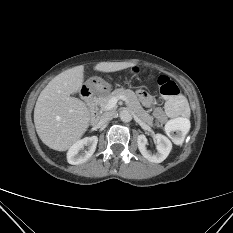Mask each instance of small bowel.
<instances>
[{
    "label": "small bowel",
    "mask_w": 233,
    "mask_h": 233,
    "mask_svg": "<svg viewBox=\"0 0 233 233\" xmlns=\"http://www.w3.org/2000/svg\"><path fill=\"white\" fill-rule=\"evenodd\" d=\"M139 98L143 103L147 105L152 103L151 97L145 91H139ZM154 114L160 121L164 120V114L160 108H156Z\"/></svg>",
    "instance_id": "1"
}]
</instances>
